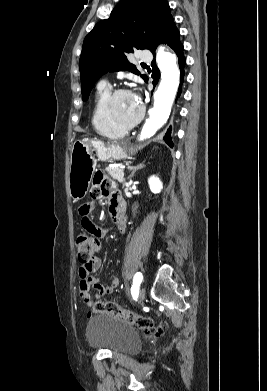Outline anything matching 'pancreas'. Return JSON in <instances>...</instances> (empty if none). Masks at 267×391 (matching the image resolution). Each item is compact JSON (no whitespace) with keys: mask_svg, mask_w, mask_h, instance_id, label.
<instances>
[{"mask_svg":"<svg viewBox=\"0 0 267 391\" xmlns=\"http://www.w3.org/2000/svg\"><path fill=\"white\" fill-rule=\"evenodd\" d=\"M108 174L118 182H124V170L120 167H106Z\"/></svg>","mask_w":267,"mask_h":391,"instance_id":"pancreas-1","label":"pancreas"}]
</instances>
